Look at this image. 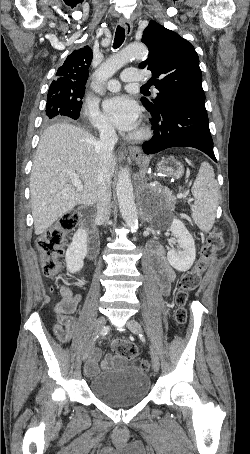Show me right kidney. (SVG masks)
I'll use <instances>...</instances> for the list:
<instances>
[{"mask_svg":"<svg viewBox=\"0 0 250 454\" xmlns=\"http://www.w3.org/2000/svg\"><path fill=\"white\" fill-rule=\"evenodd\" d=\"M87 255V234L83 229H79L73 236L69 245L65 260L67 270L70 273L79 272L84 266V258Z\"/></svg>","mask_w":250,"mask_h":454,"instance_id":"right-kidney-1","label":"right kidney"}]
</instances>
